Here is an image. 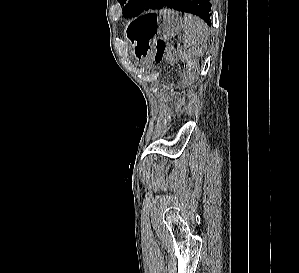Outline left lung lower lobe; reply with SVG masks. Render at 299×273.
Listing matches in <instances>:
<instances>
[{
    "mask_svg": "<svg viewBox=\"0 0 299 273\" xmlns=\"http://www.w3.org/2000/svg\"><path fill=\"white\" fill-rule=\"evenodd\" d=\"M163 7L195 14L202 18L208 25L211 24V0H148L144 11L161 9Z\"/></svg>",
    "mask_w": 299,
    "mask_h": 273,
    "instance_id": "obj_1",
    "label": "left lung lower lobe"
}]
</instances>
